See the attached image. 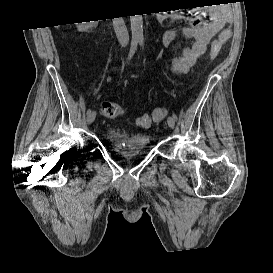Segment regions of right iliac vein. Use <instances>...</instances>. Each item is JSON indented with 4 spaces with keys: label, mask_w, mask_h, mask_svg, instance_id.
<instances>
[{
    "label": "right iliac vein",
    "mask_w": 273,
    "mask_h": 273,
    "mask_svg": "<svg viewBox=\"0 0 273 273\" xmlns=\"http://www.w3.org/2000/svg\"><path fill=\"white\" fill-rule=\"evenodd\" d=\"M95 118H96V112H95V111H91V112L87 115V123H88L89 125H91V124L94 122Z\"/></svg>",
    "instance_id": "63e3f726"
}]
</instances>
